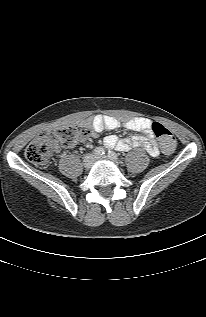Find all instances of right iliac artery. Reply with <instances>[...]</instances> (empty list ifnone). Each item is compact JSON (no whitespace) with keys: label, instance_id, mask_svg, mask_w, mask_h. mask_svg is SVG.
Returning a JSON list of instances; mask_svg holds the SVG:
<instances>
[{"label":"right iliac artery","instance_id":"82829eb1","mask_svg":"<svg viewBox=\"0 0 206 317\" xmlns=\"http://www.w3.org/2000/svg\"><path fill=\"white\" fill-rule=\"evenodd\" d=\"M93 154L96 156H101L105 154V149L103 147H97L93 150Z\"/></svg>","mask_w":206,"mask_h":317}]
</instances>
